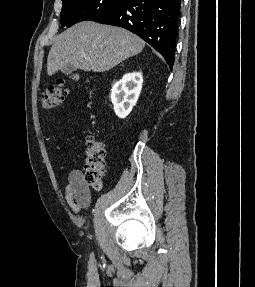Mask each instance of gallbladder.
Masks as SVG:
<instances>
[{"label": "gallbladder", "instance_id": "gallbladder-1", "mask_svg": "<svg viewBox=\"0 0 255 287\" xmlns=\"http://www.w3.org/2000/svg\"><path fill=\"white\" fill-rule=\"evenodd\" d=\"M77 68H75V66H64V68H61V72H63V74H72V72H76Z\"/></svg>", "mask_w": 255, "mask_h": 287}]
</instances>
